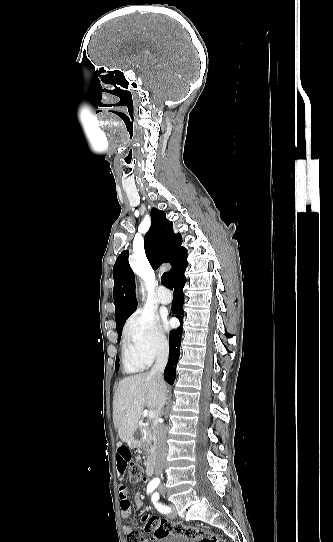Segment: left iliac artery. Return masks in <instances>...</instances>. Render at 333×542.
Wrapping results in <instances>:
<instances>
[{
  "instance_id": "left-iliac-artery-1",
  "label": "left iliac artery",
  "mask_w": 333,
  "mask_h": 542,
  "mask_svg": "<svg viewBox=\"0 0 333 542\" xmlns=\"http://www.w3.org/2000/svg\"><path fill=\"white\" fill-rule=\"evenodd\" d=\"M158 499H159V494L158 493L153 494L152 501H153L155 507L157 508V510L159 512H161V513H164V514L169 513L171 511V509L169 507L165 506V505H162V504L158 503L157 502Z\"/></svg>"
}]
</instances>
